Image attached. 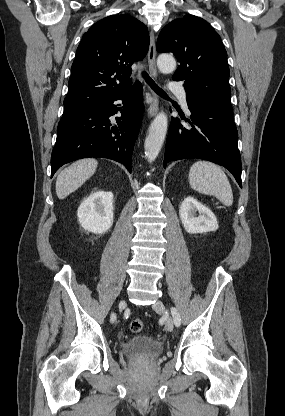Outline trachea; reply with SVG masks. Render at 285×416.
Returning a JSON list of instances; mask_svg holds the SVG:
<instances>
[{"label":"trachea","instance_id":"trachea-1","mask_svg":"<svg viewBox=\"0 0 285 416\" xmlns=\"http://www.w3.org/2000/svg\"><path fill=\"white\" fill-rule=\"evenodd\" d=\"M143 77L145 78L146 82L148 83V85L151 87V89H153L156 94L162 96V97H167L168 95L152 80V78L148 75V73L144 72L143 73Z\"/></svg>","mask_w":285,"mask_h":416}]
</instances>
